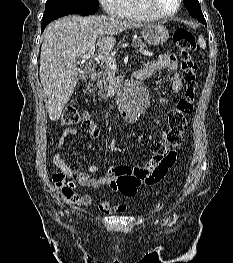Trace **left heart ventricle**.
Instances as JSON below:
<instances>
[{"mask_svg":"<svg viewBox=\"0 0 233 263\" xmlns=\"http://www.w3.org/2000/svg\"><path fill=\"white\" fill-rule=\"evenodd\" d=\"M153 3L163 13H171L176 8V0H153Z\"/></svg>","mask_w":233,"mask_h":263,"instance_id":"1","label":"left heart ventricle"}]
</instances>
